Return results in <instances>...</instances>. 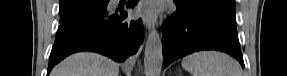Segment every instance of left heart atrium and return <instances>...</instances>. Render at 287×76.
Listing matches in <instances>:
<instances>
[{
	"mask_svg": "<svg viewBox=\"0 0 287 76\" xmlns=\"http://www.w3.org/2000/svg\"><path fill=\"white\" fill-rule=\"evenodd\" d=\"M159 11V4L154 1L146 2L141 8L143 14L153 16Z\"/></svg>",
	"mask_w": 287,
	"mask_h": 76,
	"instance_id": "left-heart-atrium-1",
	"label": "left heart atrium"
}]
</instances>
